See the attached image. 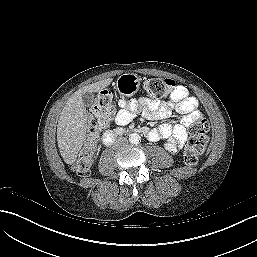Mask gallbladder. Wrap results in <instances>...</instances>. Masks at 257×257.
<instances>
[{
  "label": "gallbladder",
  "mask_w": 257,
  "mask_h": 257,
  "mask_svg": "<svg viewBox=\"0 0 257 257\" xmlns=\"http://www.w3.org/2000/svg\"><path fill=\"white\" fill-rule=\"evenodd\" d=\"M82 101L86 107H90L94 103V95L91 92H86L82 95Z\"/></svg>",
  "instance_id": "bac80fb5"
}]
</instances>
